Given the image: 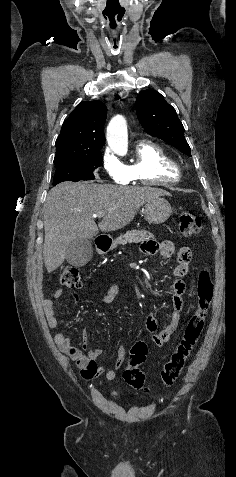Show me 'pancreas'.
<instances>
[{"instance_id": "pancreas-1", "label": "pancreas", "mask_w": 236, "mask_h": 477, "mask_svg": "<svg viewBox=\"0 0 236 477\" xmlns=\"http://www.w3.org/2000/svg\"><path fill=\"white\" fill-rule=\"evenodd\" d=\"M154 239V235L147 231L131 230L123 235H120L112 242V248H116L118 245H125L127 243H140Z\"/></svg>"}]
</instances>
